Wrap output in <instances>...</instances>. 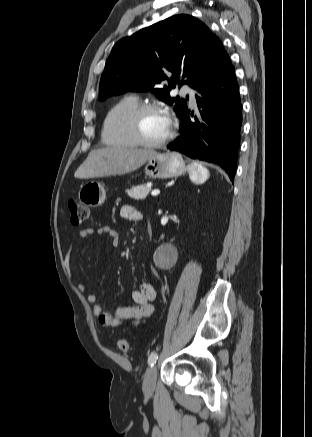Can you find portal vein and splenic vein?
Instances as JSON below:
<instances>
[{"mask_svg":"<svg viewBox=\"0 0 312 437\" xmlns=\"http://www.w3.org/2000/svg\"><path fill=\"white\" fill-rule=\"evenodd\" d=\"M158 194H160V191H159V190H153V191L151 192V195H152V196H157Z\"/></svg>","mask_w":312,"mask_h":437,"instance_id":"18ae733b","label":"portal vein and splenic vein"}]
</instances>
